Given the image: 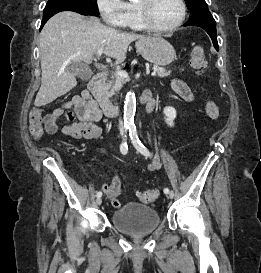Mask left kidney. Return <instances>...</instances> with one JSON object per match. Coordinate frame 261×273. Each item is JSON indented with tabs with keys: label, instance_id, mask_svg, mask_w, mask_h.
<instances>
[{
	"label": "left kidney",
	"instance_id": "obj_1",
	"mask_svg": "<svg viewBox=\"0 0 261 273\" xmlns=\"http://www.w3.org/2000/svg\"><path fill=\"white\" fill-rule=\"evenodd\" d=\"M163 113L165 115V122L168 126L173 127L174 126V119L176 118V110L173 107H165L163 110Z\"/></svg>",
	"mask_w": 261,
	"mask_h": 273
}]
</instances>
